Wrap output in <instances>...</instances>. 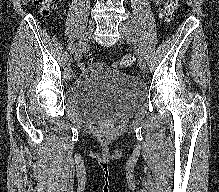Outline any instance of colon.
I'll return each mask as SVG.
<instances>
[{"mask_svg":"<svg viewBox=\"0 0 219 192\" xmlns=\"http://www.w3.org/2000/svg\"><path fill=\"white\" fill-rule=\"evenodd\" d=\"M33 3L44 14H49L54 9V0H33ZM175 9H176L175 0L168 1L162 12V19L165 24L172 22L174 18ZM134 62H135V58L132 55L127 54L124 55L120 61L114 62L113 65L120 67H129L133 65ZM93 64L94 61L90 60L89 65H93Z\"/></svg>","mask_w":219,"mask_h":192,"instance_id":"5ec220e1","label":"colon"}]
</instances>
